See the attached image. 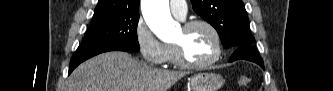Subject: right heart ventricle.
I'll list each match as a JSON object with an SVG mask.
<instances>
[{
  "instance_id": "right-heart-ventricle-1",
  "label": "right heart ventricle",
  "mask_w": 333,
  "mask_h": 91,
  "mask_svg": "<svg viewBox=\"0 0 333 91\" xmlns=\"http://www.w3.org/2000/svg\"><path fill=\"white\" fill-rule=\"evenodd\" d=\"M166 62L176 63L175 62L174 48L172 46H168L167 47V59H166Z\"/></svg>"
}]
</instances>
